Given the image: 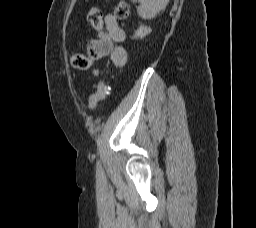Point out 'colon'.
I'll return each instance as SVG.
<instances>
[{"label": "colon", "mask_w": 256, "mask_h": 228, "mask_svg": "<svg viewBox=\"0 0 256 228\" xmlns=\"http://www.w3.org/2000/svg\"><path fill=\"white\" fill-rule=\"evenodd\" d=\"M130 7L125 0H121L114 9L115 17L118 19H125L129 16ZM87 20L89 24L98 32L99 35L102 34L103 29V17L102 12L97 7H92L88 14ZM93 63V58L86 54H74L71 58V64L77 69H87ZM109 94V85L105 81H99L97 85V90L94 94L90 96L89 108L94 110L98 103L104 100Z\"/></svg>", "instance_id": "obj_1"}]
</instances>
